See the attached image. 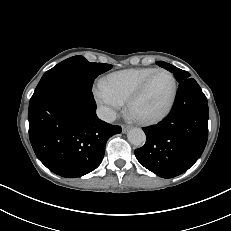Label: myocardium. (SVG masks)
Masks as SVG:
<instances>
[{
  "label": "myocardium",
  "instance_id": "myocardium-1",
  "mask_svg": "<svg viewBox=\"0 0 231 231\" xmlns=\"http://www.w3.org/2000/svg\"><path fill=\"white\" fill-rule=\"evenodd\" d=\"M159 73H165L167 74L171 80H172V95L171 98L166 105V107L158 114L150 116V117H138L135 116L132 112L134 104L145 94L146 90L148 89L151 81L153 78L159 74ZM178 94V84L176 77L173 73L166 69H156L154 72H152L143 82L142 84L128 97L126 101V111L127 114L134 119L136 122L143 124V125H153L161 122L164 120L172 111Z\"/></svg>",
  "mask_w": 231,
  "mask_h": 231
}]
</instances>
